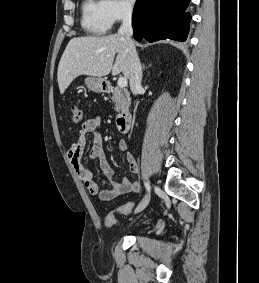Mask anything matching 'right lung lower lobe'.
<instances>
[{"mask_svg":"<svg viewBox=\"0 0 259 283\" xmlns=\"http://www.w3.org/2000/svg\"><path fill=\"white\" fill-rule=\"evenodd\" d=\"M190 0H137L132 14L134 38L149 42L162 39L185 41L191 17Z\"/></svg>","mask_w":259,"mask_h":283,"instance_id":"98d812e1","label":"right lung lower lobe"}]
</instances>
